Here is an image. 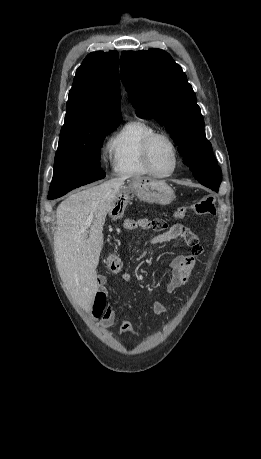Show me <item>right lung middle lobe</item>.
<instances>
[{"instance_id": "right-lung-middle-lobe-1", "label": "right lung middle lobe", "mask_w": 261, "mask_h": 459, "mask_svg": "<svg viewBox=\"0 0 261 459\" xmlns=\"http://www.w3.org/2000/svg\"><path fill=\"white\" fill-rule=\"evenodd\" d=\"M118 125L101 124L59 141L48 199L61 197L74 188L105 177L100 148L106 134Z\"/></svg>"}]
</instances>
